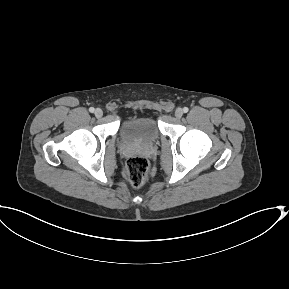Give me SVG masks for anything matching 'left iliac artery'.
<instances>
[{
	"label": "left iliac artery",
	"mask_w": 289,
	"mask_h": 289,
	"mask_svg": "<svg viewBox=\"0 0 289 289\" xmlns=\"http://www.w3.org/2000/svg\"><path fill=\"white\" fill-rule=\"evenodd\" d=\"M188 110H189V109H188L187 107H184V108H183V112H184V113H187Z\"/></svg>",
	"instance_id": "left-iliac-artery-1"
}]
</instances>
